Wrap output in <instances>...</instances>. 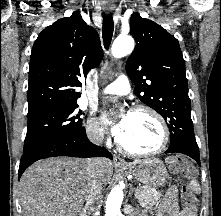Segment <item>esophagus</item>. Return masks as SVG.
Returning a JSON list of instances; mask_svg holds the SVG:
<instances>
[{
  "mask_svg": "<svg viewBox=\"0 0 221 216\" xmlns=\"http://www.w3.org/2000/svg\"><path fill=\"white\" fill-rule=\"evenodd\" d=\"M107 13H110V11L108 10ZM113 161H114V164L119 167L126 165L124 159H122L121 157H119L117 155H114Z\"/></svg>",
  "mask_w": 221,
  "mask_h": 216,
  "instance_id": "34e87169",
  "label": "esophagus"
}]
</instances>
